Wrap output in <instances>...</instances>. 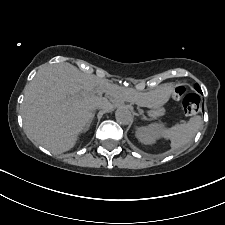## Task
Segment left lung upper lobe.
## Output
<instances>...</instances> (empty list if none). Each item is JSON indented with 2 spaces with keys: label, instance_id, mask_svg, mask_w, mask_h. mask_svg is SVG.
I'll list each match as a JSON object with an SVG mask.
<instances>
[{
  "label": "left lung upper lobe",
  "instance_id": "5c2ea615",
  "mask_svg": "<svg viewBox=\"0 0 225 225\" xmlns=\"http://www.w3.org/2000/svg\"><path fill=\"white\" fill-rule=\"evenodd\" d=\"M195 89H196L199 93L201 92V89H200V87H199L198 84H195Z\"/></svg>",
  "mask_w": 225,
  "mask_h": 225
}]
</instances>
